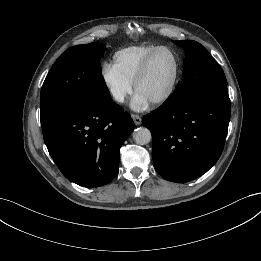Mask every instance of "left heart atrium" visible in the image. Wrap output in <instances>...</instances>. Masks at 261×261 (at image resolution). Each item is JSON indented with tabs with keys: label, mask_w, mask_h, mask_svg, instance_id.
<instances>
[{
	"label": "left heart atrium",
	"mask_w": 261,
	"mask_h": 261,
	"mask_svg": "<svg viewBox=\"0 0 261 261\" xmlns=\"http://www.w3.org/2000/svg\"><path fill=\"white\" fill-rule=\"evenodd\" d=\"M148 103L149 101L137 92L131 102V107L135 110H142L148 106Z\"/></svg>",
	"instance_id": "39dd6f15"
}]
</instances>
